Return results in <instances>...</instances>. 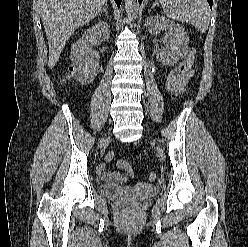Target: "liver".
<instances>
[{"label": "liver", "mask_w": 248, "mask_h": 247, "mask_svg": "<svg viewBox=\"0 0 248 247\" xmlns=\"http://www.w3.org/2000/svg\"><path fill=\"white\" fill-rule=\"evenodd\" d=\"M107 0H38L52 69L74 31L101 11Z\"/></svg>", "instance_id": "1"}]
</instances>
